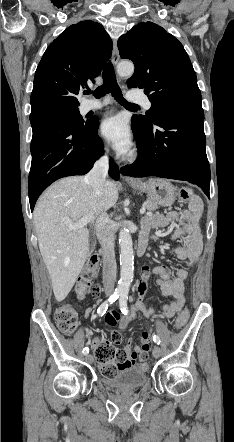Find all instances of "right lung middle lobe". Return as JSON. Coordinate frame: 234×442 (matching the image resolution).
<instances>
[{
	"label": "right lung middle lobe",
	"instance_id": "obj_1",
	"mask_svg": "<svg viewBox=\"0 0 234 442\" xmlns=\"http://www.w3.org/2000/svg\"><path fill=\"white\" fill-rule=\"evenodd\" d=\"M39 115H62V116L68 117L73 122H75L76 124H79V125H83L87 122V121H84V119L80 115L78 107L54 108V109H50L48 111H45L43 113L30 116V118H33V117L39 116Z\"/></svg>",
	"mask_w": 234,
	"mask_h": 442
}]
</instances>
